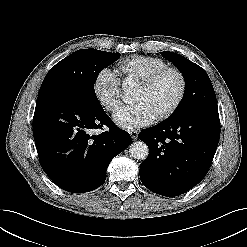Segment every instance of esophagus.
<instances>
[{
  "label": "esophagus",
  "instance_id": "1",
  "mask_svg": "<svg viewBox=\"0 0 247 247\" xmlns=\"http://www.w3.org/2000/svg\"><path fill=\"white\" fill-rule=\"evenodd\" d=\"M129 133H130L133 140L137 139V137H138V131L137 130H130Z\"/></svg>",
  "mask_w": 247,
  "mask_h": 247
}]
</instances>
